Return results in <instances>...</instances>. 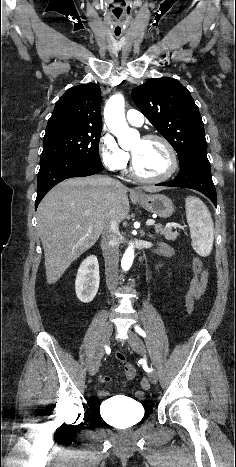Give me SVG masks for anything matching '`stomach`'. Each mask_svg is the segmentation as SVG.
Masks as SVG:
<instances>
[{
    "label": "stomach",
    "instance_id": "obj_1",
    "mask_svg": "<svg viewBox=\"0 0 236 467\" xmlns=\"http://www.w3.org/2000/svg\"><path fill=\"white\" fill-rule=\"evenodd\" d=\"M136 200L145 210L158 215L161 218H168L174 212V205L170 198L162 194H141L134 196Z\"/></svg>",
    "mask_w": 236,
    "mask_h": 467
}]
</instances>
